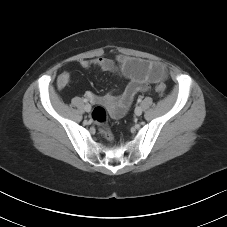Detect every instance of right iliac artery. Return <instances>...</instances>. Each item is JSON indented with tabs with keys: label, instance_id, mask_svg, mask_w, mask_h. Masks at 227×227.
<instances>
[{
	"label": "right iliac artery",
	"instance_id": "1",
	"mask_svg": "<svg viewBox=\"0 0 227 227\" xmlns=\"http://www.w3.org/2000/svg\"><path fill=\"white\" fill-rule=\"evenodd\" d=\"M83 102H84V103H87V102H88V100L85 98V99H83Z\"/></svg>",
	"mask_w": 227,
	"mask_h": 227
}]
</instances>
